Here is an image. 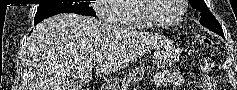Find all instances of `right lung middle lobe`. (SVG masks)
I'll return each instance as SVG.
<instances>
[{"label": "right lung middle lobe", "mask_w": 237, "mask_h": 90, "mask_svg": "<svg viewBox=\"0 0 237 90\" xmlns=\"http://www.w3.org/2000/svg\"><path fill=\"white\" fill-rule=\"evenodd\" d=\"M90 2L79 3H59V4H40L34 22L38 23L50 16L59 13H76L86 16H96L95 11L89 6Z\"/></svg>", "instance_id": "dd1d6c3e"}]
</instances>
